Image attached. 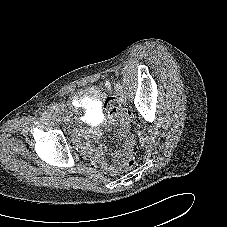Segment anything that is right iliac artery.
Here are the masks:
<instances>
[{
	"label": "right iliac artery",
	"mask_w": 227,
	"mask_h": 227,
	"mask_svg": "<svg viewBox=\"0 0 227 227\" xmlns=\"http://www.w3.org/2000/svg\"><path fill=\"white\" fill-rule=\"evenodd\" d=\"M42 117L43 118H49L50 117V114L45 112V113H42Z\"/></svg>",
	"instance_id": "obj_1"
}]
</instances>
